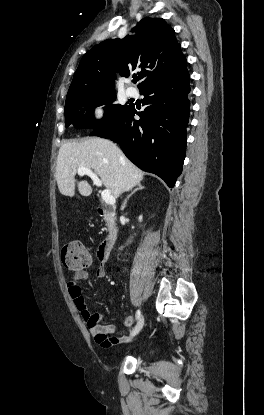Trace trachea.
<instances>
[{"instance_id":"obj_1","label":"trachea","mask_w":264,"mask_h":415,"mask_svg":"<svg viewBox=\"0 0 264 415\" xmlns=\"http://www.w3.org/2000/svg\"><path fill=\"white\" fill-rule=\"evenodd\" d=\"M138 81V79H133V83H136Z\"/></svg>"}]
</instances>
